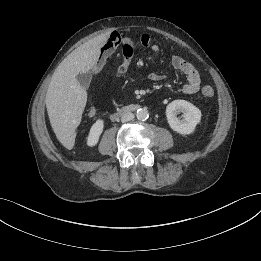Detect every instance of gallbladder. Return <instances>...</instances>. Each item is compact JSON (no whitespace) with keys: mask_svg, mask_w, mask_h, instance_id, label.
<instances>
[{"mask_svg":"<svg viewBox=\"0 0 261 261\" xmlns=\"http://www.w3.org/2000/svg\"><path fill=\"white\" fill-rule=\"evenodd\" d=\"M77 81L83 88H88L92 79V75L90 72L80 73L76 76Z\"/></svg>","mask_w":261,"mask_h":261,"instance_id":"gallbladder-1","label":"gallbladder"}]
</instances>
